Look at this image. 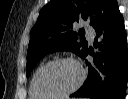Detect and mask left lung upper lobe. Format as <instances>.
Wrapping results in <instances>:
<instances>
[{
    "mask_svg": "<svg viewBox=\"0 0 128 99\" xmlns=\"http://www.w3.org/2000/svg\"><path fill=\"white\" fill-rule=\"evenodd\" d=\"M106 0H51L44 6L35 26L30 32V42L27 51V76L36 63L51 51H72L81 58L88 50L83 38L84 30L79 33L72 31L74 22L86 20L89 12L101 16ZM97 20L91 18L94 26Z\"/></svg>",
    "mask_w": 128,
    "mask_h": 99,
    "instance_id": "left-lung-upper-lobe-1",
    "label": "left lung upper lobe"
}]
</instances>
